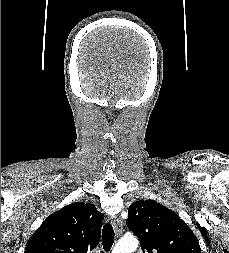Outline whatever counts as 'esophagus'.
<instances>
[{"label": "esophagus", "instance_id": "esophagus-1", "mask_svg": "<svg viewBox=\"0 0 229 253\" xmlns=\"http://www.w3.org/2000/svg\"><path fill=\"white\" fill-rule=\"evenodd\" d=\"M113 226H114L116 234L120 235L123 230V221L120 218L115 217L113 219Z\"/></svg>", "mask_w": 229, "mask_h": 253}]
</instances>
